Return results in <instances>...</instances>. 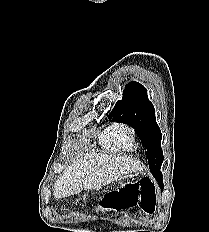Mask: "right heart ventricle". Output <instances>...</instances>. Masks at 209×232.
I'll return each mask as SVG.
<instances>
[{"mask_svg": "<svg viewBox=\"0 0 209 232\" xmlns=\"http://www.w3.org/2000/svg\"><path fill=\"white\" fill-rule=\"evenodd\" d=\"M115 124L107 126L99 136V142L103 148L110 152H120L123 149L119 146L114 134Z\"/></svg>", "mask_w": 209, "mask_h": 232, "instance_id": "1", "label": "right heart ventricle"}]
</instances>
